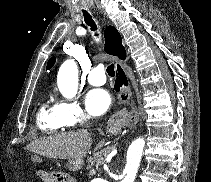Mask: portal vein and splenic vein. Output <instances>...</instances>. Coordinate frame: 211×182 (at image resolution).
<instances>
[{
  "label": "portal vein and splenic vein",
  "mask_w": 211,
  "mask_h": 182,
  "mask_svg": "<svg viewBox=\"0 0 211 182\" xmlns=\"http://www.w3.org/2000/svg\"><path fill=\"white\" fill-rule=\"evenodd\" d=\"M114 152H116V150H114ZM90 173H91V174H95L96 172H95V170L93 169V170H91Z\"/></svg>",
  "instance_id": "obj_1"
}]
</instances>
